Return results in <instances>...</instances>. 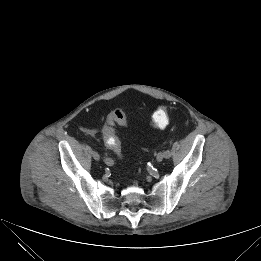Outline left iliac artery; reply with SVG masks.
I'll return each mask as SVG.
<instances>
[{
  "label": "left iliac artery",
  "mask_w": 261,
  "mask_h": 261,
  "mask_svg": "<svg viewBox=\"0 0 261 261\" xmlns=\"http://www.w3.org/2000/svg\"><path fill=\"white\" fill-rule=\"evenodd\" d=\"M163 154H164V157H165L166 159H168V158L171 157L172 152H171L170 149H166V150H164Z\"/></svg>",
  "instance_id": "obj_1"
}]
</instances>
